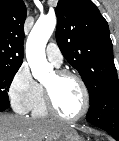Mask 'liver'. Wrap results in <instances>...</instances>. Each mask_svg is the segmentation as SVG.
Wrapping results in <instances>:
<instances>
[{"instance_id": "6515ba94", "label": "liver", "mask_w": 119, "mask_h": 141, "mask_svg": "<svg viewBox=\"0 0 119 141\" xmlns=\"http://www.w3.org/2000/svg\"><path fill=\"white\" fill-rule=\"evenodd\" d=\"M62 127L50 120L0 114V141H43Z\"/></svg>"}]
</instances>
